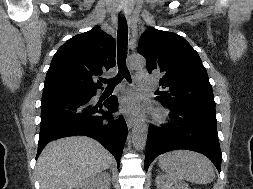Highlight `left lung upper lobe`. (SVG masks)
I'll list each match as a JSON object with an SVG mask.
<instances>
[{"mask_svg":"<svg viewBox=\"0 0 253 189\" xmlns=\"http://www.w3.org/2000/svg\"><path fill=\"white\" fill-rule=\"evenodd\" d=\"M138 52L149 71L157 72L165 91L156 97L165 106H183L216 113L212 86L198 53L181 36L149 27Z\"/></svg>","mask_w":253,"mask_h":189,"instance_id":"obj_1","label":"left lung upper lobe"}]
</instances>
